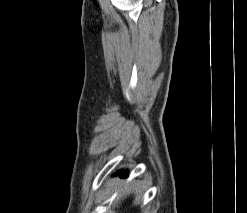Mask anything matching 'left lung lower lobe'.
<instances>
[{"mask_svg":"<svg viewBox=\"0 0 247 213\" xmlns=\"http://www.w3.org/2000/svg\"><path fill=\"white\" fill-rule=\"evenodd\" d=\"M118 174L120 177H125L127 175V173L123 171H119Z\"/></svg>","mask_w":247,"mask_h":213,"instance_id":"obj_1","label":"left lung lower lobe"}]
</instances>
